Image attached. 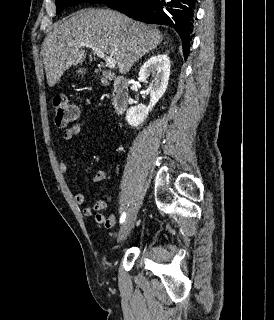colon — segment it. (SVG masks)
I'll return each instance as SVG.
<instances>
[{"instance_id": "colon-1", "label": "colon", "mask_w": 274, "mask_h": 320, "mask_svg": "<svg viewBox=\"0 0 274 320\" xmlns=\"http://www.w3.org/2000/svg\"><path fill=\"white\" fill-rule=\"evenodd\" d=\"M52 106L55 111L54 122L63 131L66 127H73V120H80L78 108L70 103L64 94H58L53 98ZM102 186L100 183L97 185Z\"/></svg>"}]
</instances>
